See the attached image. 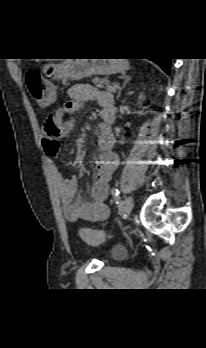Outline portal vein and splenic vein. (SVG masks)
I'll return each instance as SVG.
<instances>
[{
	"label": "portal vein and splenic vein",
	"instance_id": "obj_1",
	"mask_svg": "<svg viewBox=\"0 0 206 348\" xmlns=\"http://www.w3.org/2000/svg\"><path fill=\"white\" fill-rule=\"evenodd\" d=\"M113 86H114V87H118L119 84H118L117 82H115V83L113 84Z\"/></svg>",
	"mask_w": 206,
	"mask_h": 348
}]
</instances>
